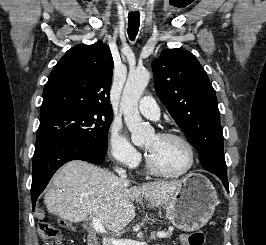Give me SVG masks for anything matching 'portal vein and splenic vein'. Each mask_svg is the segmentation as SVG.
Segmentation results:
<instances>
[{"label":"portal vein and splenic vein","mask_w":266,"mask_h":245,"mask_svg":"<svg viewBox=\"0 0 266 245\" xmlns=\"http://www.w3.org/2000/svg\"><path fill=\"white\" fill-rule=\"evenodd\" d=\"M92 225L96 233H107L103 225H101L100 221H98V219H95V217H92ZM167 235L168 233H157V237H159V239H163V237H167Z\"/></svg>","instance_id":"portal-vein-and-splenic-vein-1"}]
</instances>
